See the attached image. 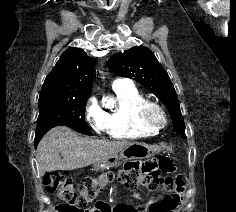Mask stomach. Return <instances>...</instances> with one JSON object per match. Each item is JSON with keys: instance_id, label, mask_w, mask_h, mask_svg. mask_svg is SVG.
<instances>
[{"instance_id": "0dacf381", "label": "stomach", "mask_w": 236, "mask_h": 212, "mask_svg": "<svg viewBox=\"0 0 236 212\" xmlns=\"http://www.w3.org/2000/svg\"><path fill=\"white\" fill-rule=\"evenodd\" d=\"M159 151L160 149L156 146H149L144 143H133L123 149L119 154L110 156L105 160L95 163L94 170L100 171L117 167L121 161L150 158Z\"/></svg>"}]
</instances>
